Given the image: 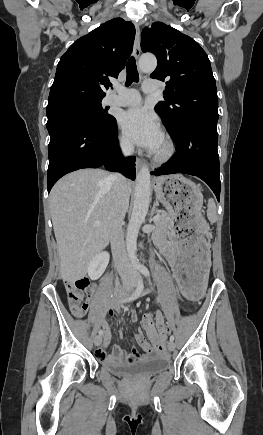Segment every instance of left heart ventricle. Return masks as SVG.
Returning <instances> with one entry per match:
<instances>
[{
  "mask_svg": "<svg viewBox=\"0 0 263 435\" xmlns=\"http://www.w3.org/2000/svg\"><path fill=\"white\" fill-rule=\"evenodd\" d=\"M164 150V143L159 146V148L156 150V152H162Z\"/></svg>",
  "mask_w": 263,
  "mask_h": 435,
  "instance_id": "1",
  "label": "left heart ventricle"
}]
</instances>
